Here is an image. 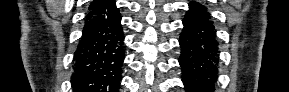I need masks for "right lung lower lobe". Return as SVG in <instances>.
Here are the masks:
<instances>
[{
  "label": "right lung lower lobe",
  "mask_w": 289,
  "mask_h": 92,
  "mask_svg": "<svg viewBox=\"0 0 289 92\" xmlns=\"http://www.w3.org/2000/svg\"><path fill=\"white\" fill-rule=\"evenodd\" d=\"M73 62L74 92H117L124 59L121 16L114 0L89 8Z\"/></svg>",
  "instance_id": "1"
}]
</instances>
